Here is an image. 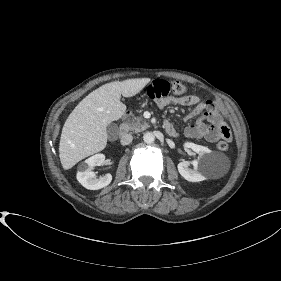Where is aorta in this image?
Wrapping results in <instances>:
<instances>
[{"label": "aorta", "instance_id": "1", "mask_svg": "<svg viewBox=\"0 0 281 281\" xmlns=\"http://www.w3.org/2000/svg\"><path fill=\"white\" fill-rule=\"evenodd\" d=\"M143 140L146 144H152L155 141V136L152 132H146L143 136Z\"/></svg>", "mask_w": 281, "mask_h": 281}]
</instances>
